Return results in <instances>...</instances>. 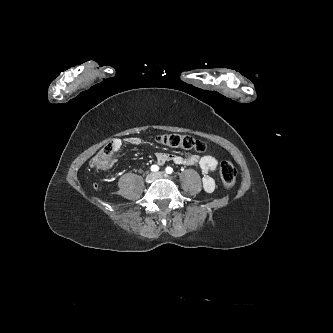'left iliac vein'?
<instances>
[{
	"label": "left iliac vein",
	"mask_w": 333,
	"mask_h": 333,
	"mask_svg": "<svg viewBox=\"0 0 333 333\" xmlns=\"http://www.w3.org/2000/svg\"><path fill=\"white\" fill-rule=\"evenodd\" d=\"M155 177L156 178H166L167 177V175L164 173V172H157V173H155Z\"/></svg>",
	"instance_id": "4c4485c4"
}]
</instances>
